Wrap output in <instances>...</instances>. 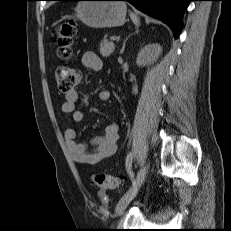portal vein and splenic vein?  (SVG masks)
<instances>
[{"mask_svg": "<svg viewBox=\"0 0 231 231\" xmlns=\"http://www.w3.org/2000/svg\"><path fill=\"white\" fill-rule=\"evenodd\" d=\"M111 39H112L113 41H117V40L119 39V37H117V36L114 35V36L111 37Z\"/></svg>", "mask_w": 231, "mask_h": 231, "instance_id": "portal-vein-and-splenic-vein-1", "label": "portal vein and splenic vein"}]
</instances>
